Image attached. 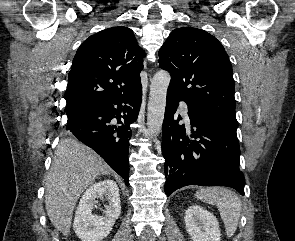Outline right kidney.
<instances>
[{
	"mask_svg": "<svg viewBox=\"0 0 295 241\" xmlns=\"http://www.w3.org/2000/svg\"><path fill=\"white\" fill-rule=\"evenodd\" d=\"M105 199L104 216L92 214L96 199ZM121 214L119 188L115 181L106 179L91 185L80 199L74 219V230L82 241H101L112 230Z\"/></svg>",
	"mask_w": 295,
	"mask_h": 241,
	"instance_id": "obj_1",
	"label": "right kidney"
}]
</instances>
